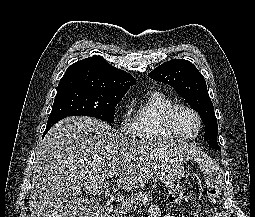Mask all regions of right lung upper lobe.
Listing matches in <instances>:
<instances>
[{"instance_id": "cb5924a9", "label": "right lung upper lobe", "mask_w": 255, "mask_h": 217, "mask_svg": "<svg viewBox=\"0 0 255 217\" xmlns=\"http://www.w3.org/2000/svg\"><path fill=\"white\" fill-rule=\"evenodd\" d=\"M135 84L134 77L111 66L100 56H93L69 66L58 89L86 88L102 92L123 93Z\"/></svg>"}]
</instances>
